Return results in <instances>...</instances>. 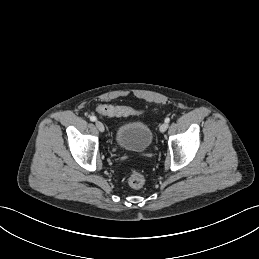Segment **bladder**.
<instances>
[{"instance_id": "bladder-1", "label": "bladder", "mask_w": 259, "mask_h": 259, "mask_svg": "<svg viewBox=\"0 0 259 259\" xmlns=\"http://www.w3.org/2000/svg\"><path fill=\"white\" fill-rule=\"evenodd\" d=\"M115 142L122 149L145 152L151 146L152 131L142 122L123 123L116 130Z\"/></svg>"}]
</instances>
